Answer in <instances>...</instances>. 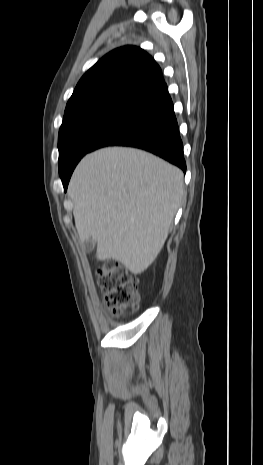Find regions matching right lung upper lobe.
Returning a JSON list of instances; mask_svg holds the SVG:
<instances>
[{
	"label": "right lung upper lobe",
	"mask_w": 263,
	"mask_h": 465,
	"mask_svg": "<svg viewBox=\"0 0 263 465\" xmlns=\"http://www.w3.org/2000/svg\"><path fill=\"white\" fill-rule=\"evenodd\" d=\"M162 84L154 59L139 47L124 46L106 54L83 75L65 111L106 97L138 99Z\"/></svg>",
	"instance_id": "1"
}]
</instances>
